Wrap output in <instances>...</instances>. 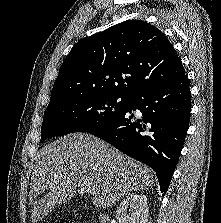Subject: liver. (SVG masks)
Returning <instances> with one entry per match:
<instances>
[{
    "mask_svg": "<svg viewBox=\"0 0 221 223\" xmlns=\"http://www.w3.org/2000/svg\"><path fill=\"white\" fill-rule=\"evenodd\" d=\"M153 182L147 166L108 143L90 134H68L38 153L30 184L31 220L38 222L72 198L82 183L91 188L95 207L108 208ZM46 189L48 193L37 200Z\"/></svg>",
    "mask_w": 221,
    "mask_h": 223,
    "instance_id": "1",
    "label": "liver"
}]
</instances>
